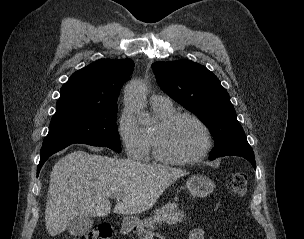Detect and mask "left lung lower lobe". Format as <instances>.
Listing matches in <instances>:
<instances>
[{"label":"left lung lower lobe","instance_id":"left-lung-lower-lobe-1","mask_svg":"<svg viewBox=\"0 0 304 239\" xmlns=\"http://www.w3.org/2000/svg\"><path fill=\"white\" fill-rule=\"evenodd\" d=\"M241 157L247 159L252 164V166L256 169V163H255L254 157H249V156H241ZM210 159L213 160L215 158L210 157Z\"/></svg>","mask_w":304,"mask_h":239}]
</instances>
